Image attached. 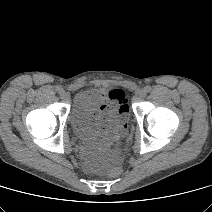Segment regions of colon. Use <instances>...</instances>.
I'll list each match as a JSON object with an SVG mask.
<instances>
[{"mask_svg":"<svg viewBox=\"0 0 212 212\" xmlns=\"http://www.w3.org/2000/svg\"><path fill=\"white\" fill-rule=\"evenodd\" d=\"M119 104H120V110L122 112L128 110V104L126 98L122 99ZM120 174H121V168L119 166H113L109 171V175L113 178H117Z\"/></svg>","mask_w":212,"mask_h":212,"instance_id":"obj_1","label":"colon"}]
</instances>
